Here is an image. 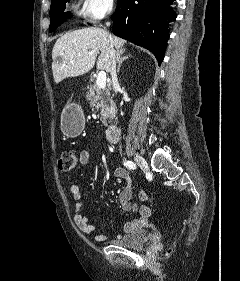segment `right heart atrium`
Instances as JSON below:
<instances>
[{"label": "right heart atrium", "mask_w": 240, "mask_h": 281, "mask_svg": "<svg viewBox=\"0 0 240 281\" xmlns=\"http://www.w3.org/2000/svg\"><path fill=\"white\" fill-rule=\"evenodd\" d=\"M114 9V0H82L81 15L90 22H96L109 15Z\"/></svg>", "instance_id": "obj_1"}]
</instances>
